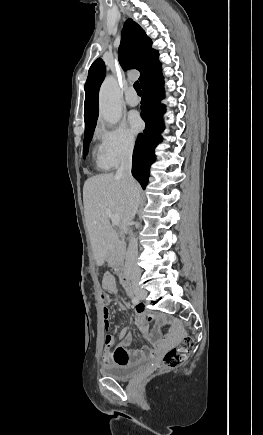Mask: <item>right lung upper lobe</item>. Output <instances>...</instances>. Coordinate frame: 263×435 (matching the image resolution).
<instances>
[{
  "label": "right lung upper lobe",
  "mask_w": 263,
  "mask_h": 435,
  "mask_svg": "<svg viewBox=\"0 0 263 435\" xmlns=\"http://www.w3.org/2000/svg\"><path fill=\"white\" fill-rule=\"evenodd\" d=\"M119 62L124 70L137 69L141 86L158 72L161 63L159 53L152 49V40L144 30L132 19L126 20L122 30L121 44L119 47ZM106 73L105 64L98 58L91 65L85 83V130L96 126L98 118V93Z\"/></svg>",
  "instance_id": "cb5924a9"
}]
</instances>
